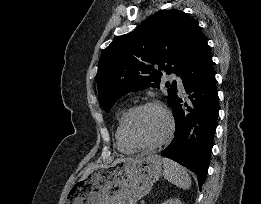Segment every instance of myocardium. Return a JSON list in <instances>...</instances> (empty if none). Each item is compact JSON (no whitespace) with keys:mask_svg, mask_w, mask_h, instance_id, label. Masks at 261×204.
Listing matches in <instances>:
<instances>
[{"mask_svg":"<svg viewBox=\"0 0 261 204\" xmlns=\"http://www.w3.org/2000/svg\"><path fill=\"white\" fill-rule=\"evenodd\" d=\"M146 108H154L157 109L164 117L165 119V123H166V128H165V132L162 135V137L157 140L154 143L151 144H138L136 142H134L130 136L128 135V131H127V126H128V122L129 120L132 118V116L134 114H136L137 112H139L140 110L146 109ZM173 128H174V122H173V118L171 113L169 112V110L162 105L161 103L157 102V101H146V102H142L140 104H137L135 106H133L132 108H130L124 115L122 121H121V135L123 140L125 141V143L130 146L131 148H133L134 150H139V151H149V150H154L160 146H162L163 144H165L169 138L172 135L173 132Z\"/></svg>","mask_w":261,"mask_h":204,"instance_id":"obj_1","label":"myocardium"}]
</instances>
